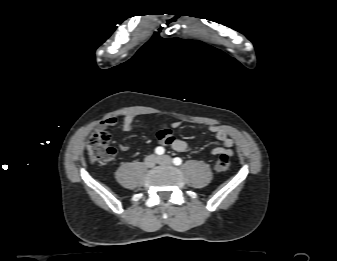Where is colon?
Here are the masks:
<instances>
[{"label": "colon", "mask_w": 337, "mask_h": 261, "mask_svg": "<svg viewBox=\"0 0 337 261\" xmlns=\"http://www.w3.org/2000/svg\"><path fill=\"white\" fill-rule=\"evenodd\" d=\"M87 151L89 159L94 164H102L108 162L115 154V149L110 145V136L105 131L93 132L87 143ZM231 165L230 155L221 154L214 164L216 172H226Z\"/></svg>", "instance_id": "colon-1"}]
</instances>
